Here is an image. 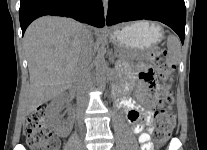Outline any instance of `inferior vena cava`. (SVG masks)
I'll list each match as a JSON object with an SVG mask.
<instances>
[{"label":"inferior vena cava","instance_id":"obj_1","mask_svg":"<svg viewBox=\"0 0 207 150\" xmlns=\"http://www.w3.org/2000/svg\"><path fill=\"white\" fill-rule=\"evenodd\" d=\"M92 37L84 33L82 50L79 57L76 74L74 78L75 86L77 89V96L80 106H84L87 102V91L92 83L91 75V56H92Z\"/></svg>","mask_w":207,"mask_h":150}]
</instances>
